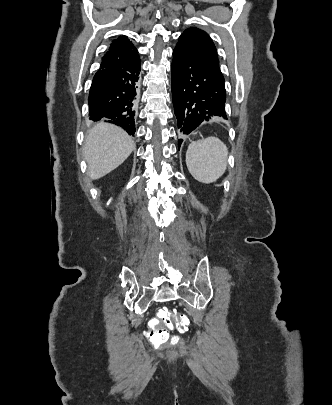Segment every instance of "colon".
Returning <instances> with one entry per match:
<instances>
[{
  "label": "colon",
  "instance_id": "obj_1",
  "mask_svg": "<svg viewBox=\"0 0 332 405\" xmlns=\"http://www.w3.org/2000/svg\"><path fill=\"white\" fill-rule=\"evenodd\" d=\"M150 320L152 327L149 331V338L154 344L162 345L169 338L168 329H173L175 326L181 332H185L188 325L193 323V316L163 309L159 311L158 315H152ZM174 338L177 339V337Z\"/></svg>",
  "mask_w": 332,
  "mask_h": 405
}]
</instances>
